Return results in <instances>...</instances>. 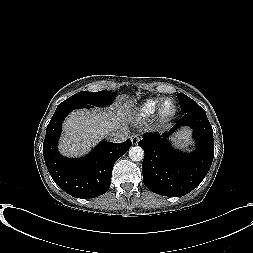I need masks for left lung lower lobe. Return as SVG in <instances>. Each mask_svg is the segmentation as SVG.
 <instances>
[{
    "label": "left lung lower lobe",
    "instance_id": "left-lung-lower-lobe-1",
    "mask_svg": "<svg viewBox=\"0 0 253 253\" xmlns=\"http://www.w3.org/2000/svg\"><path fill=\"white\" fill-rule=\"evenodd\" d=\"M179 126L194 129L197 148L189 155L174 150L168 133H145L138 145L145 156L143 182L154 193L181 197L195 189L207 175L214 157L213 130L205 111L185 113L169 133Z\"/></svg>",
    "mask_w": 253,
    "mask_h": 253
}]
</instances>
